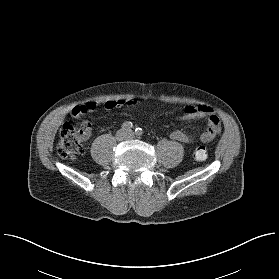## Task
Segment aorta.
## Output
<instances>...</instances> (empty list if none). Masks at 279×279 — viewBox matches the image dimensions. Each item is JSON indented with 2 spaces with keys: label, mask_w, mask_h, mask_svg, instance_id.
<instances>
[{
  "label": "aorta",
  "mask_w": 279,
  "mask_h": 279,
  "mask_svg": "<svg viewBox=\"0 0 279 279\" xmlns=\"http://www.w3.org/2000/svg\"><path fill=\"white\" fill-rule=\"evenodd\" d=\"M136 133H137V135H140V134L142 133L141 129H138V130L136 131Z\"/></svg>",
  "instance_id": "762f6f07"
}]
</instances>
